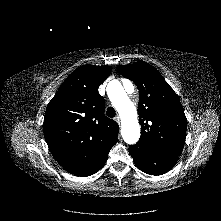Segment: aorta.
Instances as JSON below:
<instances>
[{
    "label": "aorta",
    "instance_id": "aorta-1",
    "mask_svg": "<svg viewBox=\"0 0 221 221\" xmlns=\"http://www.w3.org/2000/svg\"><path fill=\"white\" fill-rule=\"evenodd\" d=\"M108 97L121 119V135L127 144H135L140 138L137 110L118 81L108 85Z\"/></svg>",
    "mask_w": 221,
    "mask_h": 221
}]
</instances>
